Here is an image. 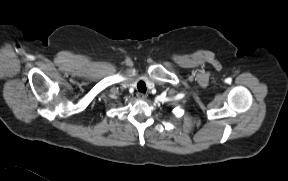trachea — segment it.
<instances>
[{
    "label": "trachea",
    "instance_id": "1",
    "mask_svg": "<svg viewBox=\"0 0 288 181\" xmlns=\"http://www.w3.org/2000/svg\"><path fill=\"white\" fill-rule=\"evenodd\" d=\"M137 88L139 90V92L141 93H145L146 92V85L143 81H139L137 84Z\"/></svg>",
    "mask_w": 288,
    "mask_h": 181
}]
</instances>
